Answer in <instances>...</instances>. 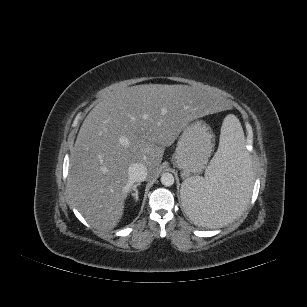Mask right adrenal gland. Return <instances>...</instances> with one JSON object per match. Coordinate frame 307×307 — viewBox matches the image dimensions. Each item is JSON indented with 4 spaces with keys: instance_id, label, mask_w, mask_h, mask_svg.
<instances>
[{
    "instance_id": "1",
    "label": "right adrenal gland",
    "mask_w": 307,
    "mask_h": 307,
    "mask_svg": "<svg viewBox=\"0 0 307 307\" xmlns=\"http://www.w3.org/2000/svg\"><path fill=\"white\" fill-rule=\"evenodd\" d=\"M139 185H140V183L135 184V185H134V188H133V191L131 192V195L134 197L135 202H137V201H138V198H139V196H138V190H137V187H138Z\"/></svg>"
}]
</instances>
